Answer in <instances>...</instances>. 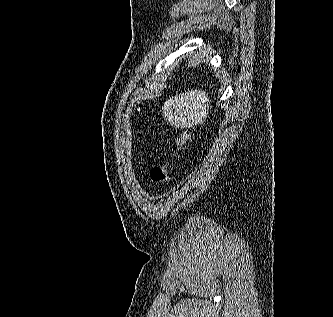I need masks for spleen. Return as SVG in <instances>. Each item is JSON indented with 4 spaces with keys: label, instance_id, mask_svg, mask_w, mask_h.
Returning <instances> with one entry per match:
<instances>
[{
    "label": "spleen",
    "instance_id": "spleen-1",
    "mask_svg": "<svg viewBox=\"0 0 333 317\" xmlns=\"http://www.w3.org/2000/svg\"><path fill=\"white\" fill-rule=\"evenodd\" d=\"M210 100L208 93L191 89L167 99L162 107L167 123L177 128H190L202 124L208 116Z\"/></svg>",
    "mask_w": 333,
    "mask_h": 317
}]
</instances>
